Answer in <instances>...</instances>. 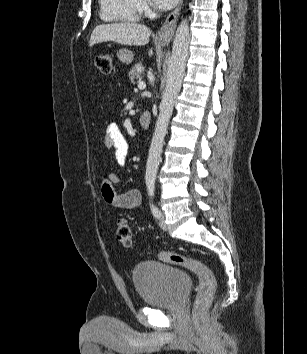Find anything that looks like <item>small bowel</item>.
Returning <instances> with one entry per match:
<instances>
[{
	"instance_id": "c3829d8e",
	"label": "small bowel",
	"mask_w": 307,
	"mask_h": 354,
	"mask_svg": "<svg viewBox=\"0 0 307 354\" xmlns=\"http://www.w3.org/2000/svg\"><path fill=\"white\" fill-rule=\"evenodd\" d=\"M104 145L112 149L119 165H124L128 153L129 143L122 130L116 123H109L105 129L103 138ZM120 181L118 175L110 172L103 178L101 184L102 196L107 204L114 208L124 210H137L142 207V198L138 190H130L119 194L113 185Z\"/></svg>"
}]
</instances>
